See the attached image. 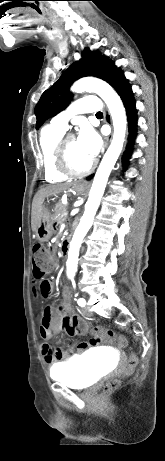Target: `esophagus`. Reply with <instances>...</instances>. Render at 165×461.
I'll list each match as a JSON object with an SVG mask.
<instances>
[{
	"mask_svg": "<svg viewBox=\"0 0 165 461\" xmlns=\"http://www.w3.org/2000/svg\"><path fill=\"white\" fill-rule=\"evenodd\" d=\"M107 119L109 120V117H108V116H107ZM111 139H112V134H111V135H109V136H108V138H107V141H106V147H107V146H108V144L110 143ZM87 184H88V183H85L84 185H87Z\"/></svg>",
	"mask_w": 165,
	"mask_h": 461,
	"instance_id": "34e87169",
	"label": "esophagus"
}]
</instances>
